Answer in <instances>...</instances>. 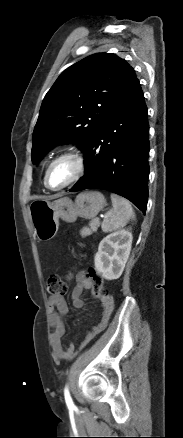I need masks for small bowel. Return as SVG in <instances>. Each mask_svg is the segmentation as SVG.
Listing matches in <instances>:
<instances>
[{"label": "small bowel", "mask_w": 183, "mask_h": 438, "mask_svg": "<svg viewBox=\"0 0 183 438\" xmlns=\"http://www.w3.org/2000/svg\"><path fill=\"white\" fill-rule=\"evenodd\" d=\"M74 275L69 273L67 279H72ZM92 287L91 279L83 272L76 274V285L72 290V305L74 308H81L84 304L81 296L84 290L90 289ZM101 303V318L100 321L93 326L86 335V340L91 339L94 335L101 332L107 325L109 317L114 308L113 296L108 294L100 298ZM68 304L64 296L50 297L49 298V317L48 321L52 327L51 343L55 356L58 359H71L74 352L75 346L69 344L67 347H63L61 339L65 333L64 316L68 313Z\"/></svg>", "instance_id": "obj_1"}]
</instances>
